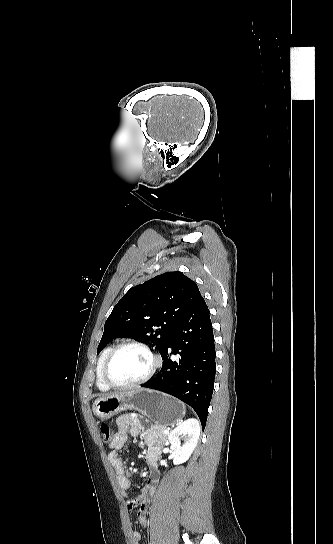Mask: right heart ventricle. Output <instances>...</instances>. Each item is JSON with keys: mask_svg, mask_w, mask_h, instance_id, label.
<instances>
[{"mask_svg": "<svg viewBox=\"0 0 333 544\" xmlns=\"http://www.w3.org/2000/svg\"><path fill=\"white\" fill-rule=\"evenodd\" d=\"M114 348V345H110V346H107L101 353V355L99 356V359H98V362H97V368H96V384H97V387L101 390V391H108L111 387H109L103 380V377H102V368H103V364L108 356V354L110 353V351Z\"/></svg>", "mask_w": 333, "mask_h": 544, "instance_id": "e07e8e85", "label": "right heart ventricle"}]
</instances>
